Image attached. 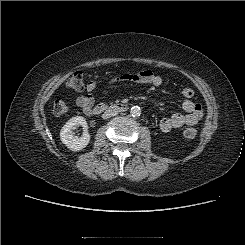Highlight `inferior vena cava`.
<instances>
[{
    "instance_id": "1",
    "label": "inferior vena cava",
    "mask_w": 245,
    "mask_h": 245,
    "mask_svg": "<svg viewBox=\"0 0 245 245\" xmlns=\"http://www.w3.org/2000/svg\"><path fill=\"white\" fill-rule=\"evenodd\" d=\"M118 114V112L116 110H106L103 114H102V118L103 119H107L113 116H116Z\"/></svg>"
}]
</instances>
